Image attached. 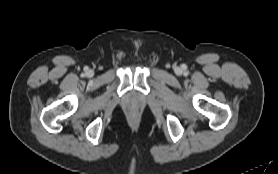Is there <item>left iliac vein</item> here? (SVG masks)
<instances>
[{"label": "left iliac vein", "instance_id": "left-iliac-vein-1", "mask_svg": "<svg viewBox=\"0 0 278 174\" xmlns=\"http://www.w3.org/2000/svg\"><path fill=\"white\" fill-rule=\"evenodd\" d=\"M176 71H177V72H180V71H181V69H180V68H176Z\"/></svg>", "mask_w": 278, "mask_h": 174}]
</instances>
